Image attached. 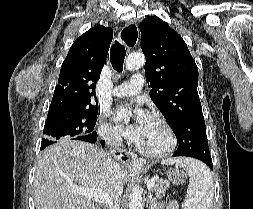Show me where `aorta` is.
Returning <instances> with one entry per match:
<instances>
[{
    "mask_svg": "<svg viewBox=\"0 0 253 209\" xmlns=\"http://www.w3.org/2000/svg\"><path fill=\"white\" fill-rule=\"evenodd\" d=\"M145 64V57L140 53H132L130 54L125 62V68L128 71L138 70ZM120 114H126V110L124 108H120L118 110ZM129 209H143V197L142 190L139 187H134L131 191L129 197Z\"/></svg>",
    "mask_w": 253,
    "mask_h": 209,
    "instance_id": "1",
    "label": "aorta"
}]
</instances>
